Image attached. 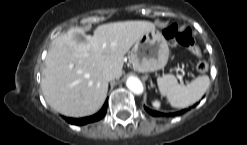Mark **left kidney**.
<instances>
[{
	"label": "left kidney",
	"instance_id": "obj_1",
	"mask_svg": "<svg viewBox=\"0 0 247 145\" xmlns=\"http://www.w3.org/2000/svg\"><path fill=\"white\" fill-rule=\"evenodd\" d=\"M152 105H153L155 108H159L160 105H161V103H160L158 100H154V101L152 102Z\"/></svg>",
	"mask_w": 247,
	"mask_h": 145
}]
</instances>
